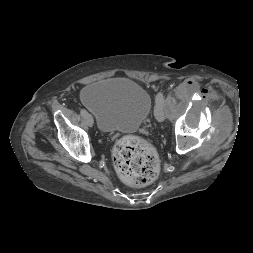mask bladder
Wrapping results in <instances>:
<instances>
[{"label": "bladder", "instance_id": "1", "mask_svg": "<svg viewBox=\"0 0 253 253\" xmlns=\"http://www.w3.org/2000/svg\"><path fill=\"white\" fill-rule=\"evenodd\" d=\"M82 103L103 132H133L148 117L152 98L137 82L126 78L102 80L84 88Z\"/></svg>", "mask_w": 253, "mask_h": 253}]
</instances>
